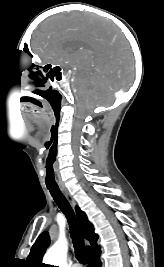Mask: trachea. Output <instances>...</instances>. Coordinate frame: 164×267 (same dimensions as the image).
Masks as SVG:
<instances>
[{"mask_svg": "<svg viewBox=\"0 0 164 267\" xmlns=\"http://www.w3.org/2000/svg\"><path fill=\"white\" fill-rule=\"evenodd\" d=\"M47 188L50 191L54 201L68 220L77 260L82 264H86L84 238L73 209L71 208L65 196L60 191L59 187L47 186Z\"/></svg>", "mask_w": 164, "mask_h": 267, "instance_id": "1", "label": "trachea"}]
</instances>
